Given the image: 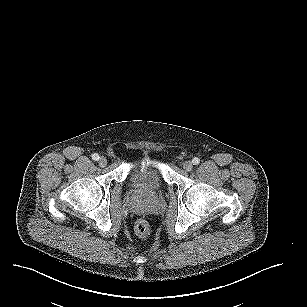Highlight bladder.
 <instances>
[{
    "label": "bladder",
    "instance_id": "1",
    "mask_svg": "<svg viewBox=\"0 0 307 307\" xmlns=\"http://www.w3.org/2000/svg\"><path fill=\"white\" fill-rule=\"evenodd\" d=\"M136 179L134 186L139 190L158 191L161 187L156 171L151 168H140L136 172Z\"/></svg>",
    "mask_w": 307,
    "mask_h": 307
}]
</instances>
